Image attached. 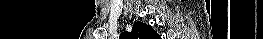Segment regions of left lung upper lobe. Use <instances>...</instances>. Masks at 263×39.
<instances>
[{
  "label": "left lung upper lobe",
  "instance_id": "1",
  "mask_svg": "<svg viewBox=\"0 0 263 39\" xmlns=\"http://www.w3.org/2000/svg\"><path fill=\"white\" fill-rule=\"evenodd\" d=\"M122 39H157L159 36L150 25L135 22L132 32H123L120 36Z\"/></svg>",
  "mask_w": 263,
  "mask_h": 39
}]
</instances>
